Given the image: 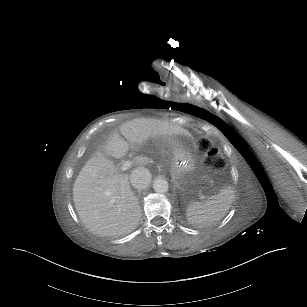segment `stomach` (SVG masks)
<instances>
[{"instance_id": "stomach-1", "label": "stomach", "mask_w": 307, "mask_h": 307, "mask_svg": "<svg viewBox=\"0 0 307 307\" xmlns=\"http://www.w3.org/2000/svg\"><path fill=\"white\" fill-rule=\"evenodd\" d=\"M198 161L196 144L188 137L175 141L173 149V176L181 185H190L195 180Z\"/></svg>"}]
</instances>
